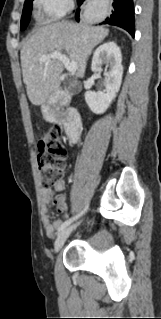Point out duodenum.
<instances>
[{
	"label": "duodenum",
	"instance_id": "410a0bca",
	"mask_svg": "<svg viewBox=\"0 0 161 319\" xmlns=\"http://www.w3.org/2000/svg\"><path fill=\"white\" fill-rule=\"evenodd\" d=\"M67 103V95L60 89L55 90L52 100L44 106V115L49 121L63 124L69 142L75 144L82 134V121L78 110L68 107Z\"/></svg>",
	"mask_w": 161,
	"mask_h": 319
}]
</instances>
